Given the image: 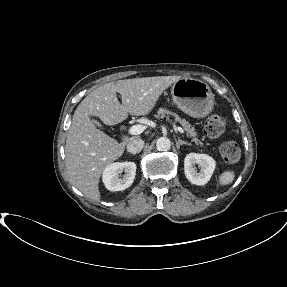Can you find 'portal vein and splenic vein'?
<instances>
[{
  "label": "portal vein and splenic vein",
  "instance_id": "portal-vein-and-splenic-vein-1",
  "mask_svg": "<svg viewBox=\"0 0 287 287\" xmlns=\"http://www.w3.org/2000/svg\"><path fill=\"white\" fill-rule=\"evenodd\" d=\"M175 129L177 131H179L180 133H184V130L179 127V126H175ZM145 130V126L137 124V125H133L132 127L129 128L128 132L131 135H139L141 134L143 131Z\"/></svg>",
  "mask_w": 287,
  "mask_h": 287
}]
</instances>
